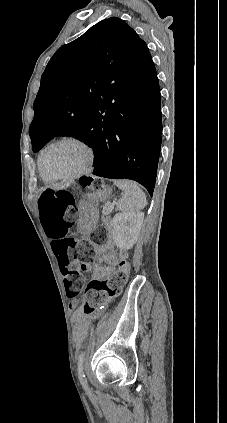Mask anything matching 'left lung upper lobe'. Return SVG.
I'll return each instance as SVG.
<instances>
[{
  "instance_id": "1",
  "label": "left lung upper lobe",
  "mask_w": 227,
  "mask_h": 423,
  "mask_svg": "<svg viewBox=\"0 0 227 423\" xmlns=\"http://www.w3.org/2000/svg\"><path fill=\"white\" fill-rule=\"evenodd\" d=\"M155 74L146 43L125 21L98 22L48 62L29 128L33 151L56 136H92L102 113L137 111Z\"/></svg>"
}]
</instances>
